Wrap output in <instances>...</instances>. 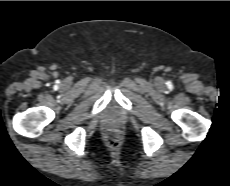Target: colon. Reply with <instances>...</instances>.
Segmentation results:
<instances>
[{
	"label": "colon",
	"mask_w": 230,
	"mask_h": 186,
	"mask_svg": "<svg viewBox=\"0 0 230 186\" xmlns=\"http://www.w3.org/2000/svg\"><path fill=\"white\" fill-rule=\"evenodd\" d=\"M105 140L109 146L111 147L117 146L120 141L119 131L114 128L107 129L105 132Z\"/></svg>",
	"instance_id": "5ec220e1"
}]
</instances>
